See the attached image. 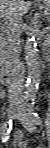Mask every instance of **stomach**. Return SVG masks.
Returning <instances> with one entry per match:
<instances>
[{
  "instance_id": "1",
  "label": "stomach",
  "mask_w": 50,
  "mask_h": 148,
  "mask_svg": "<svg viewBox=\"0 0 50 148\" xmlns=\"http://www.w3.org/2000/svg\"><path fill=\"white\" fill-rule=\"evenodd\" d=\"M44 3L46 4V5H50V1L49 0H44Z\"/></svg>"
}]
</instances>
